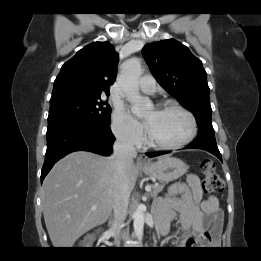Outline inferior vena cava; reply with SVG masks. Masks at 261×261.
<instances>
[{
    "label": "inferior vena cava",
    "mask_w": 261,
    "mask_h": 261,
    "mask_svg": "<svg viewBox=\"0 0 261 261\" xmlns=\"http://www.w3.org/2000/svg\"><path fill=\"white\" fill-rule=\"evenodd\" d=\"M137 151L133 141L127 136H119L113 145L112 165L114 168L113 182V227L120 236V230L127 215L130 189L126 179V169L133 164ZM126 239V236H123Z\"/></svg>",
    "instance_id": "inferior-vena-cava-1"
}]
</instances>
